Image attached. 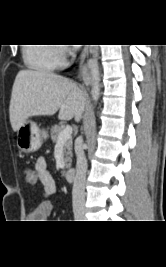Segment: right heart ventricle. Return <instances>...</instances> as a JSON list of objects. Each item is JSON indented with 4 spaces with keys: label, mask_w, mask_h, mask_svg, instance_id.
<instances>
[{
    "label": "right heart ventricle",
    "mask_w": 166,
    "mask_h": 267,
    "mask_svg": "<svg viewBox=\"0 0 166 267\" xmlns=\"http://www.w3.org/2000/svg\"><path fill=\"white\" fill-rule=\"evenodd\" d=\"M22 57L28 68L39 72H51L61 63L54 48L40 43L26 44Z\"/></svg>",
    "instance_id": "right-heart-ventricle-1"
}]
</instances>
